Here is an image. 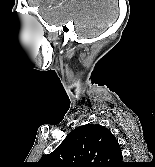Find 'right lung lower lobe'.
Masks as SVG:
<instances>
[{
	"label": "right lung lower lobe",
	"instance_id": "1",
	"mask_svg": "<svg viewBox=\"0 0 155 167\" xmlns=\"http://www.w3.org/2000/svg\"><path fill=\"white\" fill-rule=\"evenodd\" d=\"M126 166H127V164L122 163V164H120L118 167H126Z\"/></svg>",
	"mask_w": 155,
	"mask_h": 167
}]
</instances>
